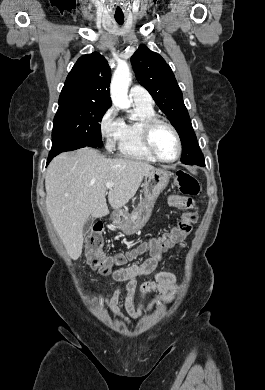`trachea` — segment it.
<instances>
[{
  "instance_id": "obj_1",
  "label": "trachea",
  "mask_w": 265,
  "mask_h": 390,
  "mask_svg": "<svg viewBox=\"0 0 265 390\" xmlns=\"http://www.w3.org/2000/svg\"><path fill=\"white\" fill-rule=\"evenodd\" d=\"M116 22L119 24V25H122L124 23V18H115Z\"/></svg>"
}]
</instances>
